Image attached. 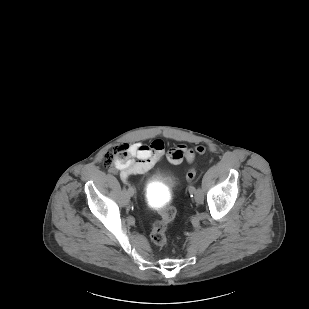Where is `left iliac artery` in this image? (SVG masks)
Masks as SVG:
<instances>
[{
  "instance_id": "44dca946",
  "label": "left iliac artery",
  "mask_w": 309,
  "mask_h": 309,
  "mask_svg": "<svg viewBox=\"0 0 309 309\" xmlns=\"http://www.w3.org/2000/svg\"><path fill=\"white\" fill-rule=\"evenodd\" d=\"M199 189H200V188H199ZM195 191H196V189H195L193 186H190V187H189V192H190V194H194ZM191 196H192V195H191Z\"/></svg>"
}]
</instances>
